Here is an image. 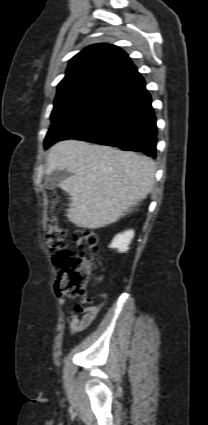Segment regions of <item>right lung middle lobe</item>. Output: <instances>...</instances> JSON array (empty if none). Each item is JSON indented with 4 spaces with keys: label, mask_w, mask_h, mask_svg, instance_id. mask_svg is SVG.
<instances>
[{
    "label": "right lung middle lobe",
    "mask_w": 208,
    "mask_h": 425,
    "mask_svg": "<svg viewBox=\"0 0 208 425\" xmlns=\"http://www.w3.org/2000/svg\"><path fill=\"white\" fill-rule=\"evenodd\" d=\"M101 91L99 90H84L67 95L54 102V108L51 114L52 125L50 129L56 125L59 119L67 113L85 106L94 100ZM50 131V130H49ZM49 131L45 138L44 147L48 148L53 143V139L49 136Z\"/></svg>",
    "instance_id": "1"
}]
</instances>
